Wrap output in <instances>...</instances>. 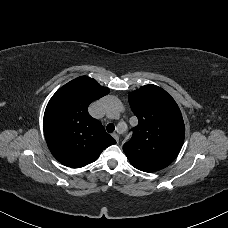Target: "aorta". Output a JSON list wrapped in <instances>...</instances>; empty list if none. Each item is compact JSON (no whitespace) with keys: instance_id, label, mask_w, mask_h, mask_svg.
<instances>
[{"instance_id":"obj_1","label":"aorta","mask_w":228,"mask_h":228,"mask_svg":"<svg viewBox=\"0 0 228 228\" xmlns=\"http://www.w3.org/2000/svg\"><path fill=\"white\" fill-rule=\"evenodd\" d=\"M115 110H116L115 106L110 107V111H115Z\"/></svg>"}]
</instances>
